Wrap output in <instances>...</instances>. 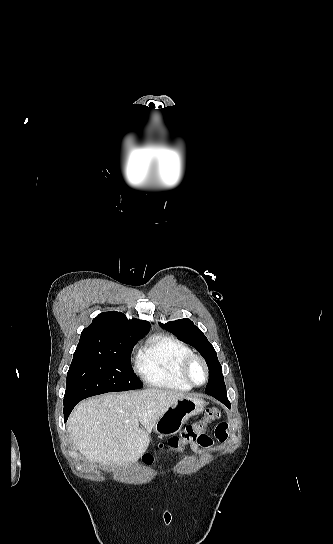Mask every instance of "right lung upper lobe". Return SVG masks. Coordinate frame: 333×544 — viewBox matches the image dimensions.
I'll use <instances>...</instances> for the list:
<instances>
[{
    "instance_id": "cb5924a9",
    "label": "right lung upper lobe",
    "mask_w": 333,
    "mask_h": 544,
    "mask_svg": "<svg viewBox=\"0 0 333 544\" xmlns=\"http://www.w3.org/2000/svg\"><path fill=\"white\" fill-rule=\"evenodd\" d=\"M149 327V322L128 320L121 312H104L82 331L76 350L105 351L115 340L142 338L148 334Z\"/></svg>"
}]
</instances>
